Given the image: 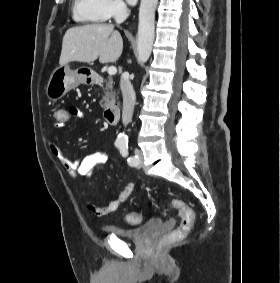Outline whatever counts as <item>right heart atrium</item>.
Returning a JSON list of instances; mask_svg holds the SVG:
<instances>
[{"label": "right heart atrium", "mask_w": 280, "mask_h": 283, "mask_svg": "<svg viewBox=\"0 0 280 283\" xmlns=\"http://www.w3.org/2000/svg\"><path fill=\"white\" fill-rule=\"evenodd\" d=\"M99 7L106 19H119L127 11V7L122 0H100Z\"/></svg>", "instance_id": "1"}]
</instances>
